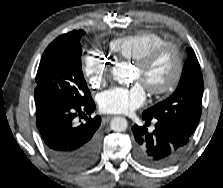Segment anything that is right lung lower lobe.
<instances>
[{
    "label": "right lung lower lobe",
    "instance_id": "right-lung-lower-lobe-1",
    "mask_svg": "<svg viewBox=\"0 0 223 188\" xmlns=\"http://www.w3.org/2000/svg\"><path fill=\"white\" fill-rule=\"evenodd\" d=\"M36 125L51 158L60 167L78 171L91 166L100 153L101 117H86L77 124L76 117L95 109L92 99L85 103L35 96Z\"/></svg>",
    "mask_w": 223,
    "mask_h": 188
}]
</instances>
